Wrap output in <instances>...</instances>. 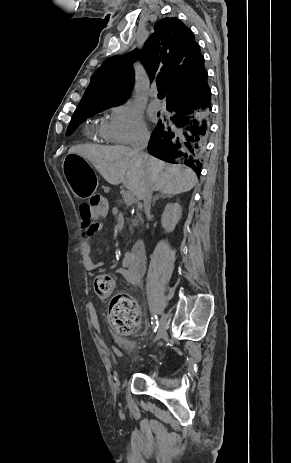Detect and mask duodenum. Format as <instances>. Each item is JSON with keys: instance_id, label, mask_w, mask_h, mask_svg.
I'll use <instances>...</instances> for the list:
<instances>
[{"instance_id": "410a0bca", "label": "duodenum", "mask_w": 291, "mask_h": 463, "mask_svg": "<svg viewBox=\"0 0 291 463\" xmlns=\"http://www.w3.org/2000/svg\"><path fill=\"white\" fill-rule=\"evenodd\" d=\"M132 252L138 256H144L146 253V244L144 240H137L133 247Z\"/></svg>"}]
</instances>
